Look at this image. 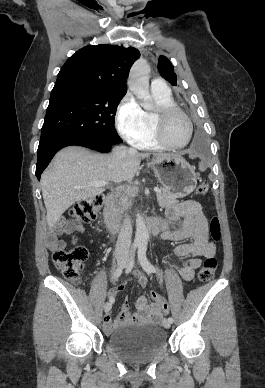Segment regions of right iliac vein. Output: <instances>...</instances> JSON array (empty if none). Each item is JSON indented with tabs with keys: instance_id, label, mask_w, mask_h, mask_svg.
Masks as SVG:
<instances>
[{
	"instance_id": "1",
	"label": "right iliac vein",
	"mask_w": 265,
	"mask_h": 388,
	"mask_svg": "<svg viewBox=\"0 0 265 388\" xmlns=\"http://www.w3.org/2000/svg\"><path fill=\"white\" fill-rule=\"evenodd\" d=\"M117 262H118V265L121 266V267H124L127 263V259L125 256L123 255H120L117 257ZM111 306L112 304L110 302H107L105 305H104V311L105 313H108L111 309Z\"/></svg>"
}]
</instances>
